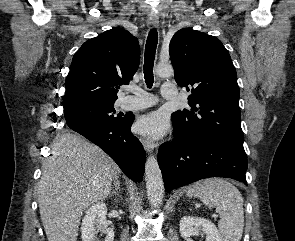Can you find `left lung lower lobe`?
<instances>
[{"label":"left lung lower lobe","mask_w":295,"mask_h":241,"mask_svg":"<svg viewBox=\"0 0 295 241\" xmlns=\"http://www.w3.org/2000/svg\"><path fill=\"white\" fill-rule=\"evenodd\" d=\"M173 127L175 139L158 150L166 192L209 177L232 178L247 185L243 145L210 137L186 140Z\"/></svg>","instance_id":"obj_1"}]
</instances>
